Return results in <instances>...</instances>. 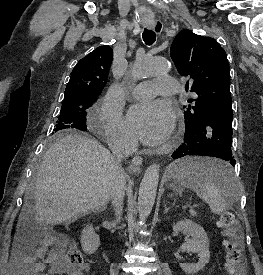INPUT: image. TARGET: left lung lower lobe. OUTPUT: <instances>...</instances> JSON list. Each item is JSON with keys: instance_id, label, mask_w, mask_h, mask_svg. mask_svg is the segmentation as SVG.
<instances>
[{"instance_id": "obj_1", "label": "left lung lower lobe", "mask_w": 263, "mask_h": 275, "mask_svg": "<svg viewBox=\"0 0 263 275\" xmlns=\"http://www.w3.org/2000/svg\"><path fill=\"white\" fill-rule=\"evenodd\" d=\"M232 119L231 104L217 106L195 127H185L184 142L173 152L172 158L210 156L223 159L235 166L231 150Z\"/></svg>"}]
</instances>
